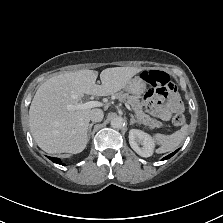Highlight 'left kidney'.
<instances>
[{
    "instance_id": "5707ae66",
    "label": "left kidney",
    "mask_w": 223,
    "mask_h": 223,
    "mask_svg": "<svg viewBox=\"0 0 223 223\" xmlns=\"http://www.w3.org/2000/svg\"><path fill=\"white\" fill-rule=\"evenodd\" d=\"M129 143L138 155L142 157L152 156L155 143L149 134L138 129H131L129 131Z\"/></svg>"
}]
</instances>
